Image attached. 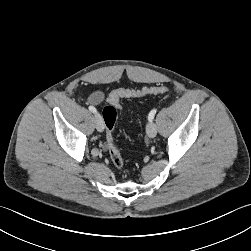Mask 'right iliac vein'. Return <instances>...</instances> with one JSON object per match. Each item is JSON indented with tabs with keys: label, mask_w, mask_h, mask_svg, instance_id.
<instances>
[{
	"label": "right iliac vein",
	"mask_w": 251,
	"mask_h": 251,
	"mask_svg": "<svg viewBox=\"0 0 251 251\" xmlns=\"http://www.w3.org/2000/svg\"><path fill=\"white\" fill-rule=\"evenodd\" d=\"M95 126H96V129L99 132H103V130H104V122H103V119H102L101 115L98 114V113L95 114Z\"/></svg>",
	"instance_id": "obj_1"
}]
</instances>
